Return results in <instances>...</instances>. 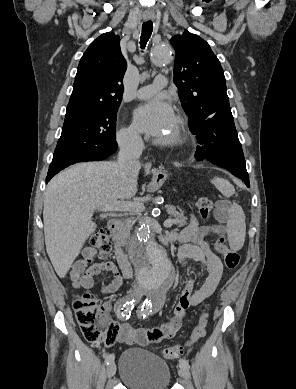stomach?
<instances>
[{
  "instance_id": "stomach-1",
  "label": "stomach",
  "mask_w": 296,
  "mask_h": 389,
  "mask_svg": "<svg viewBox=\"0 0 296 389\" xmlns=\"http://www.w3.org/2000/svg\"><path fill=\"white\" fill-rule=\"evenodd\" d=\"M168 172L165 168H155L152 171V182L149 185L151 190L164 186L167 182Z\"/></svg>"
}]
</instances>
